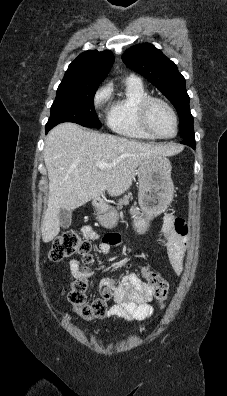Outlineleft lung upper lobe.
<instances>
[{
    "instance_id": "1",
    "label": "left lung upper lobe",
    "mask_w": 227,
    "mask_h": 396,
    "mask_svg": "<svg viewBox=\"0 0 227 396\" xmlns=\"http://www.w3.org/2000/svg\"><path fill=\"white\" fill-rule=\"evenodd\" d=\"M122 60L130 69L147 78L171 101L179 115L181 138L194 135L185 79L174 62L149 43L129 48Z\"/></svg>"
}]
</instances>
